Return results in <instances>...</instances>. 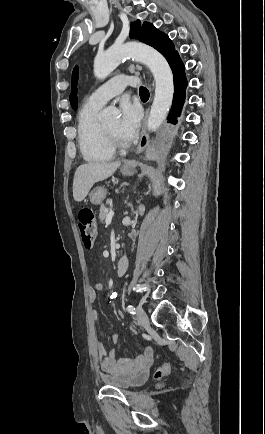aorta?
I'll list each match as a JSON object with an SVG mask.
<instances>
[{"label": "aorta", "mask_w": 265, "mask_h": 434, "mask_svg": "<svg viewBox=\"0 0 265 434\" xmlns=\"http://www.w3.org/2000/svg\"><path fill=\"white\" fill-rule=\"evenodd\" d=\"M127 56L148 66L154 76L155 98L147 120V126L150 132H156L167 118L174 94L172 70L162 54H159L157 50L150 48V46H145V44L111 46L107 52L96 56L93 66L94 76L98 80H104L121 64L122 58H127ZM117 116H119V112L112 106L103 110V120H117Z\"/></svg>", "instance_id": "1"}]
</instances>
